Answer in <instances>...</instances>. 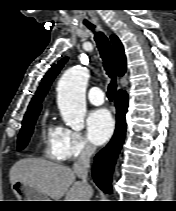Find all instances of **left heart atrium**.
Returning <instances> with one entry per match:
<instances>
[{
	"label": "left heart atrium",
	"instance_id": "left-heart-atrium-1",
	"mask_svg": "<svg viewBox=\"0 0 176 211\" xmlns=\"http://www.w3.org/2000/svg\"><path fill=\"white\" fill-rule=\"evenodd\" d=\"M89 139L96 145L105 143L114 130V121L106 109L93 110L86 119Z\"/></svg>",
	"mask_w": 176,
	"mask_h": 211
}]
</instances>
